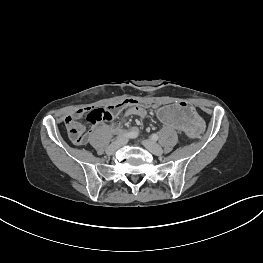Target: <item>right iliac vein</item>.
<instances>
[{
  "mask_svg": "<svg viewBox=\"0 0 263 263\" xmlns=\"http://www.w3.org/2000/svg\"><path fill=\"white\" fill-rule=\"evenodd\" d=\"M126 143V139L125 138H120L119 140L114 141L112 144H110L107 149H106V153L108 155H112L114 154L119 147H121L122 145H124Z\"/></svg>",
  "mask_w": 263,
  "mask_h": 263,
  "instance_id": "right-iliac-vein-1",
  "label": "right iliac vein"
}]
</instances>
